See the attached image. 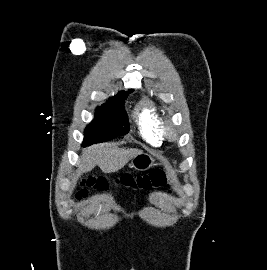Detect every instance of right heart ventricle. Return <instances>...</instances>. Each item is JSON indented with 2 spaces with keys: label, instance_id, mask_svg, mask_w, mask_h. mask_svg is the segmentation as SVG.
<instances>
[{
  "label": "right heart ventricle",
  "instance_id": "1",
  "mask_svg": "<svg viewBox=\"0 0 267 270\" xmlns=\"http://www.w3.org/2000/svg\"><path fill=\"white\" fill-rule=\"evenodd\" d=\"M134 119L140 136L151 145H159L163 140L161 115L156 106L143 99L134 110Z\"/></svg>",
  "mask_w": 267,
  "mask_h": 270
}]
</instances>
